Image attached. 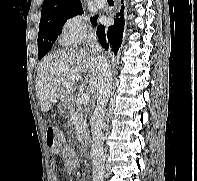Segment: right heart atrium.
Returning <instances> with one entry per match:
<instances>
[{
	"label": "right heart atrium",
	"mask_w": 197,
	"mask_h": 181,
	"mask_svg": "<svg viewBox=\"0 0 197 181\" xmlns=\"http://www.w3.org/2000/svg\"><path fill=\"white\" fill-rule=\"evenodd\" d=\"M90 36L91 31L81 15L75 14L68 17L62 25L61 38L67 44L77 45L83 43Z\"/></svg>",
	"instance_id": "d8ad5b80"
}]
</instances>
